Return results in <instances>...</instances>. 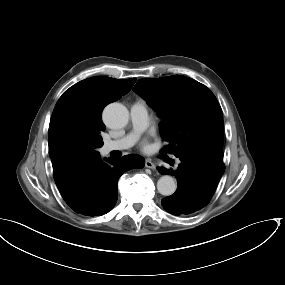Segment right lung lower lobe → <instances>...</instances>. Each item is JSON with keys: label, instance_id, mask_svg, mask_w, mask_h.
Wrapping results in <instances>:
<instances>
[{"label": "right lung lower lobe", "instance_id": "1", "mask_svg": "<svg viewBox=\"0 0 285 285\" xmlns=\"http://www.w3.org/2000/svg\"><path fill=\"white\" fill-rule=\"evenodd\" d=\"M145 160L135 155L120 159L100 157L73 171L56 184L64 201L76 213L84 216H101L108 213L117 201V183L127 170L143 168Z\"/></svg>", "mask_w": 285, "mask_h": 285}]
</instances>
